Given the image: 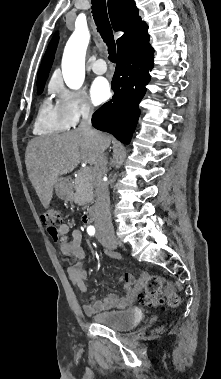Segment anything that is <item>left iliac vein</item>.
Instances as JSON below:
<instances>
[{
	"mask_svg": "<svg viewBox=\"0 0 221 379\" xmlns=\"http://www.w3.org/2000/svg\"><path fill=\"white\" fill-rule=\"evenodd\" d=\"M101 242L108 249H115L116 248L115 244H111V243L107 242L106 240H102Z\"/></svg>",
	"mask_w": 221,
	"mask_h": 379,
	"instance_id": "left-iliac-vein-1",
	"label": "left iliac vein"
}]
</instances>
